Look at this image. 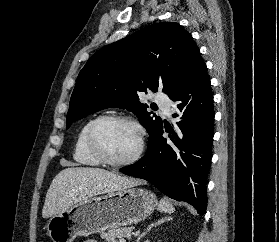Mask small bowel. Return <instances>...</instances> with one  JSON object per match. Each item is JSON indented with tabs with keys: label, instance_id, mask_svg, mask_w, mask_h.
<instances>
[{
	"label": "small bowel",
	"instance_id": "small-bowel-1",
	"mask_svg": "<svg viewBox=\"0 0 279 242\" xmlns=\"http://www.w3.org/2000/svg\"><path fill=\"white\" fill-rule=\"evenodd\" d=\"M85 242H97V241H95V240H87Z\"/></svg>",
	"mask_w": 279,
	"mask_h": 242
}]
</instances>
